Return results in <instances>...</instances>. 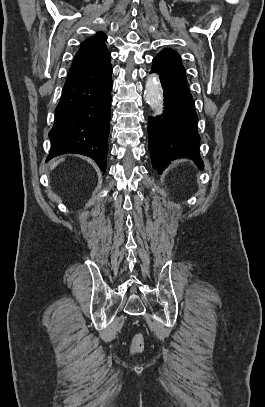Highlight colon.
I'll return each mask as SVG.
<instances>
[{
  "label": "colon",
  "instance_id": "obj_1",
  "mask_svg": "<svg viewBox=\"0 0 265 407\" xmlns=\"http://www.w3.org/2000/svg\"><path fill=\"white\" fill-rule=\"evenodd\" d=\"M145 342L144 337L141 333H136L133 337L132 344H131V352L138 354L144 350Z\"/></svg>",
  "mask_w": 265,
  "mask_h": 407
}]
</instances>
